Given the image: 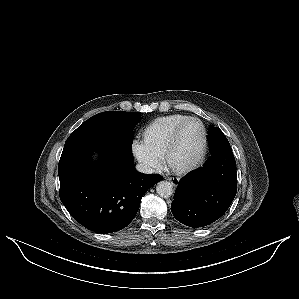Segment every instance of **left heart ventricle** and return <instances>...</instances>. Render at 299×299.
I'll return each instance as SVG.
<instances>
[{
  "label": "left heart ventricle",
  "mask_w": 299,
  "mask_h": 299,
  "mask_svg": "<svg viewBox=\"0 0 299 299\" xmlns=\"http://www.w3.org/2000/svg\"><path fill=\"white\" fill-rule=\"evenodd\" d=\"M202 144V130L198 123L186 125L178 134L169 154V164L173 168H183L195 161Z\"/></svg>",
  "instance_id": "left-heart-ventricle-1"
}]
</instances>
